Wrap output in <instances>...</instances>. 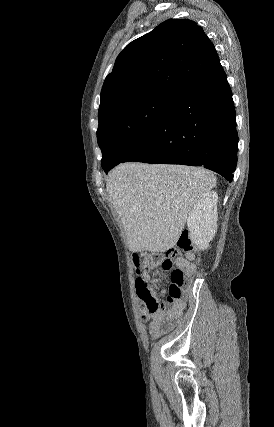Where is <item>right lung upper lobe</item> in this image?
I'll use <instances>...</instances> for the list:
<instances>
[{
  "label": "right lung upper lobe",
  "mask_w": 274,
  "mask_h": 427,
  "mask_svg": "<svg viewBox=\"0 0 274 427\" xmlns=\"http://www.w3.org/2000/svg\"><path fill=\"white\" fill-rule=\"evenodd\" d=\"M222 70L214 45L196 22L169 19L118 55L104 81L98 115L145 95L178 97Z\"/></svg>",
  "instance_id": "right-lung-upper-lobe-1"
}]
</instances>
